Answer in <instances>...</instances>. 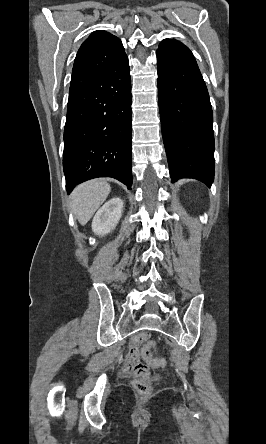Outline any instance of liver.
Listing matches in <instances>:
<instances>
[{
  "label": "liver",
  "mask_w": 266,
  "mask_h": 444,
  "mask_svg": "<svg viewBox=\"0 0 266 444\" xmlns=\"http://www.w3.org/2000/svg\"><path fill=\"white\" fill-rule=\"evenodd\" d=\"M110 191V185L101 179L87 181L73 190L71 209L81 225H85L91 219Z\"/></svg>",
  "instance_id": "6515ba94"
}]
</instances>
